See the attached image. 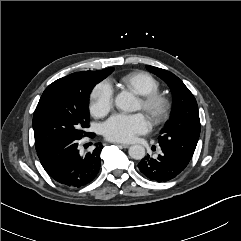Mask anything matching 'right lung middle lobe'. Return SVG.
<instances>
[{
    "label": "right lung middle lobe",
    "mask_w": 241,
    "mask_h": 241,
    "mask_svg": "<svg viewBox=\"0 0 241 241\" xmlns=\"http://www.w3.org/2000/svg\"><path fill=\"white\" fill-rule=\"evenodd\" d=\"M104 78L77 75L58 79L46 88L33 116L36 151L87 135L89 94Z\"/></svg>",
    "instance_id": "right-lung-middle-lobe-1"
}]
</instances>
